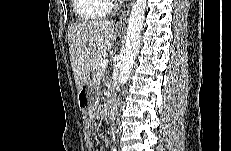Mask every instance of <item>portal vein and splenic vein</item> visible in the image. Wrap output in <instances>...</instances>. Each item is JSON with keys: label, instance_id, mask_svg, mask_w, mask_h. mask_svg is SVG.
Segmentation results:
<instances>
[{"label": "portal vein and splenic vein", "instance_id": "obj_1", "mask_svg": "<svg viewBox=\"0 0 231 151\" xmlns=\"http://www.w3.org/2000/svg\"><path fill=\"white\" fill-rule=\"evenodd\" d=\"M108 62H109V61H108L107 59L102 60V61H101V67H102V68H105V67L108 65Z\"/></svg>", "mask_w": 231, "mask_h": 151}]
</instances>
